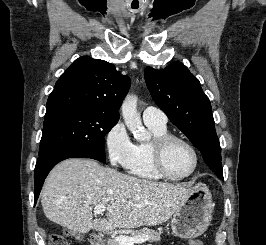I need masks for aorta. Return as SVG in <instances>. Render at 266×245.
<instances>
[{
  "instance_id": "1",
  "label": "aorta",
  "mask_w": 266,
  "mask_h": 245,
  "mask_svg": "<svg viewBox=\"0 0 266 245\" xmlns=\"http://www.w3.org/2000/svg\"><path fill=\"white\" fill-rule=\"evenodd\" d=\"M121 110L124 123L136 141H147L149 139L148 131L143 129L140 112H137V96L127 94L122 102Z\"/></svg>"
}]
</instances>
